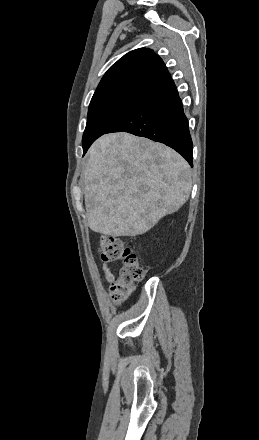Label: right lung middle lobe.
<instances>
[{
    "label": "right lung middle lobe",
    "mask_w": 259,
    "mask_h": 440,
    "mask_svg": "<svg viewBox=\"0 0 259 440\" xmlns=\"http://www.w3.org/2000/svg\"><path fill=\"white\" fill-rule=\"evenodd\" d=\"M146 93L145 91H119L92 98L82 138L83 148L105 134L129 113Z\"/></svg>",
    "instance_id": "dd1d6c3e"
}]
</instances>
